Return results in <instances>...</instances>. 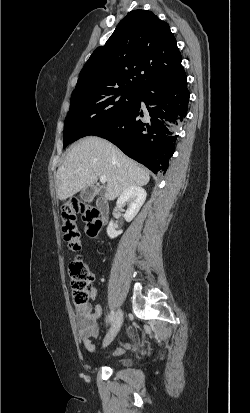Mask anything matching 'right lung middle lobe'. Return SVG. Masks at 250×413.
<instances>
[{
	"label": "right lung middle lobe",
	"mask_w": 250,
	"mask_h": 413,
	"mask_svg": "<svg viewBox=\"0 0 250 413\" xmlns=\"http://www.w3.org/2000/svg\"><path fill=\"white\" fill-rule=\"evenodd\" d=\"M138 89L121 87L72 94L70 111L65 119V148L105 125L126 110L137 98Z\"/></svg>",
	"instance_id": "1"
}]
</instances>
